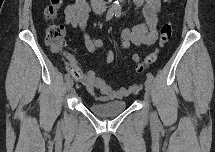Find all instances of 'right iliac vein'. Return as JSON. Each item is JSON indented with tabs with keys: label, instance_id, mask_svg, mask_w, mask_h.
<instances>
[{
	"label": "right iliac vein",
	"instance_id": "right-iliac-vein-1",
	"mask_svg": "<svg viewBox=\"0 0 215 152\" xmlns=\"http://www.w3.org/2000/svg\"><path fill=\"white\" fill-rule=\"evenodd\" d=\"M66 88L68 91H71L72 88H73V80L72 79H68L67 82H66Z\"/></svg>",
	"mask_w": 215,
	"mask_h": 152
}]
</instances>
